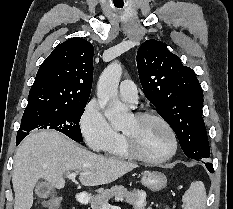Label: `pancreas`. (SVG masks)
<instances>
[{"mask_svg": "<svg viewBox=\"0 0 233 209\" xmlns=\"http://www.w3.org/2000/svg\"><path fill=\"white\" fill-rule=\"evenodd\" d=\"M143 192L139 190L130 191L123 186H113L110 189L100 191L90 201L91 209H102L111 198L122 199L133 206L134 209H145L146 200L142 197Z\"/></svg>", "mask_w": 233, "mask_h": 209, "instance_id": "obj_1", "label": "pancreas"}]
</instances>
